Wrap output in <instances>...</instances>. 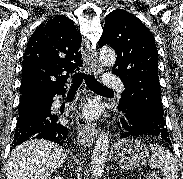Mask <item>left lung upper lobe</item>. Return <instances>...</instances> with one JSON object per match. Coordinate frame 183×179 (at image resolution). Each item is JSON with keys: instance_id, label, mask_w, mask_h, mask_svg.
<instances>
[{"instance_id": "left-lung-upper-lobe-1", "label": "left lung upper lobe", "mask_w": 183, "mask_h": 179, "mask_svg": "<svg viewBox=\"0 0 183 179\" xmlns=\"http://www.w3.org/2000/svg\"><path fill=\"white\" fill-rule=\"evenodd\" d=\"M117 54L113 73L120 77L125 91L119 109L133 106L158 124L166 126L160 97L158 57L153 35L133 14L118 9L109 13L100 41Z\"/></svg>"}]
</instances>
